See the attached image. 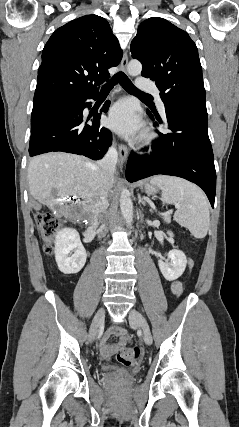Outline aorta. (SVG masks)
I'll return each instance as SVG.
<instances>
[{
  "mask_svg": "<svg viewBox=\"0 0 239 427\" xmlns=\"http://www.w3.org/2000/svg\"><path fill=\"white\" fill-rule=\"evenodd\" d=\"M127 71L130 76H138L142 71V65L138 60H132L128 64ZM120 208L127 226H131L133 221V203L127 188H122L121 190Z\"/></svg>",
  "mask_w": 239,
  "mask_h": 427,
  "instance_id": "aorta-1",
  "label": "aorta"
}]
</instances>
